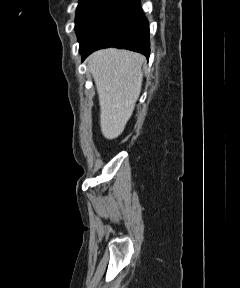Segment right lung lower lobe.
Listing matches in <instances>:
<instances>
[{"mask_svg":"<svg viewBox=\"0 0 240 288\" xmlns=\"http://www.w3.org/2000/svg\"><path fill=\"white\" fill-rule=\"evenodd\" d=\"M149 25L139 0H121L79 51L84 60L95 50L107 47L150 55Z\"/></svg>","mask_w":240,"mask_h":288,"instance_id":"obj_1","label":"right lung lower lobe"}]
</instances>
